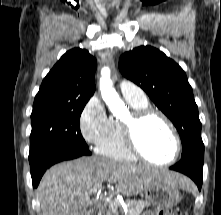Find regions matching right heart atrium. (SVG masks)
I'll list each match as a JSON object with an SVG mask.
<instances>
[{
  "label": "right heart atrium",
  "instance_id": "1",
  "mask_svg": "<svg viewBox=\"0 0 221 215\" xmlns=\"http://www.w3.org/2000/svg\"><path fill=\"white\" fill-rule=\"evenodd\" d=\"M109 117L97 97H92L84 106L80 118L79 128L83 139L89 144L97 145L106 135Z\"/></svg>",
  "mask_w": 221,
  "mask_h": 215
}]
</instances>
